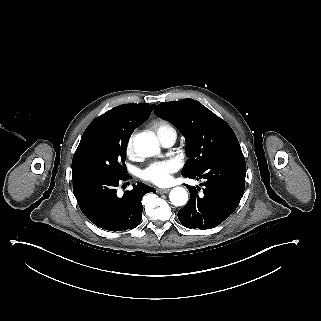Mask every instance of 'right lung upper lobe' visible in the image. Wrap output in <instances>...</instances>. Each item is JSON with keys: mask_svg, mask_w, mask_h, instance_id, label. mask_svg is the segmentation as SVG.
Returning a JSON list of instances; mask_svg holds the SVG:
<instances>
[{"mask_svg": "<svg viewBox=\"0 0 321 321\" xmlns=\"http://www.w3.org/2000/svg\"><path fill=\"white\" fill-rule=\"evenodd\" d=\"M153 105L149 104H124L117 106L99 118L107 119L116 128L135 129L151 114Z\"/></svg>", "mask_w": 321, "mask_h": 321, "instance_id": "cb5924a9", "label": "right lung upper lobe"}]
</instances>
